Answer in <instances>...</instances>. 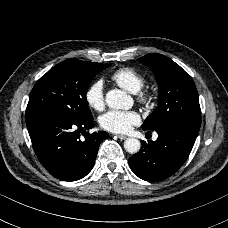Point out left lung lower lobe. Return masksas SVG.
<instances>
[{
	"instance_id": "left-lung-lower-lobe-1",
	"label": "left lung lower lobe",
	"mask_w": 228,
	"mask_h": 228,
	"mask_svg": "<svg viewBox=\"0 0 228 228\" xmlns=\"http://www.w3.org/2000/svg\"><path fill=\"white\" fill-rule=\"evenodd\" d=\"M155 131L157 140L141 141L140 151L129 158L133 173L150 182L170 177L183 165L199 132L184 125L162 126Z\"/></svg>"
}]
</instances>
